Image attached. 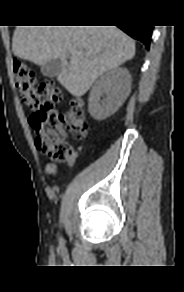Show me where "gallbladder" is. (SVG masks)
<instances>
[{
  "instance_id": "1",
  "label": "gallbladder",
  "mask_w": 184,
  "mask_h": 292,
  "mask_svg": "<svg viewBox=\"0 0 184 292\" xmlns=\"http://www.w3.org/2000/svg\"><path fill=\"white\" fill-rule=\"evenodd\" d=\"M41 73L46 77H56L62 70V64L58 60H51L40 66Z\"/></svg>"
}]
</instances>
